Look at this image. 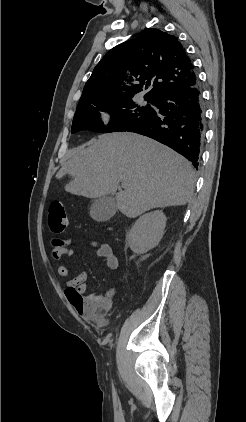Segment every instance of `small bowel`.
I'll return each mask as SVG.
<instances>
[{
    "label": "small bowel",
    "mask_w": 246,
    "mask_h": 422,
    "mask_svg": "<svg viewBox=\"0 0 246 422\" xmlns=\"http://www.w3.org/2000/svg\"><path fill=\"white\" fill-rule=\"evenodd\" d=\"M69 241L54 240L52 256L54 259L62 257L71 258L74 250L69 246ZM96 249L99 258L105 261L107 267L116 270L119 261L111 246L105 242L94 241L91 243ZM57 274L60 277H69L70 270L65 265L57 267ZM87 273L81 272L67 281L64 293L70 304L88 321L101 322L113 305L114 289L98 295H86Z\"/></svg>",
    "instance_id": "c3829d8e"
}]
</instances>
